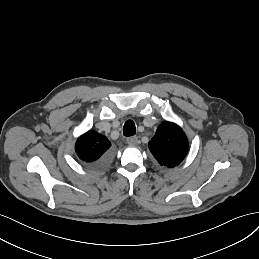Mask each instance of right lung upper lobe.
<instances>
[{
  "mask_svg": "<svg viewBox=\"0 0 259 259\" xmlns=\"http://www.w3.org/2000/svg\"><path fill=\"white\" fill-rule=\"evenodd\" d=\"M110 146L111 143L105 136L90 130L78 138L75 151L80 160L92 163L101 158Z\"/></svg>",
  "mask_w": 259,
  "mask_h": 259,
  "instance_id": "cb5924a9",
  "label": "right lung upper lobe"
}]
</instances>
